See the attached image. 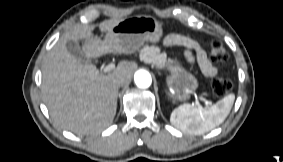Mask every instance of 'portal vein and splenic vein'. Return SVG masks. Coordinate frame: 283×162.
<instances>
[{"label":"portal vein and splenic vein","instance_id":"1","mask_svg":"<svg viewBox=\"0 0 283 162\" xmlns=\"http://www.w3.org/2000/svg\"><path fill=\"white\" fill-rule=\"evenodd\" d=\"M114 69H115V64L110 63V64H108V65H106V66L104 67L103 72H104V73H107V72H110V71H112V70H114ZM200 99H201L206 105L210 104V102H209L208 100H206V99H204V98H200ZM195 105H197L199 108H202V106L199 104L198 100H196Z\"/></svg>","mask_w":283,"mask_h":162}]
</instances>
